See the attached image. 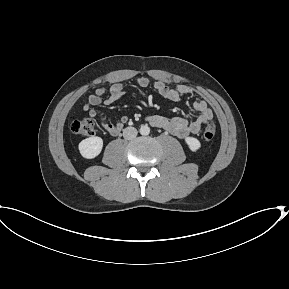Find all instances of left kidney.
Segmentation results:
<instances>
[{"instance_id":"left-kidney-1","label":"left kidney","mask_w":289,"mask_h":289,"mask_svg":"<svg viewBox=\"0 0 289 289\" xmlns=\"http://www.w3.org/2000/svg\"><path fill=\"white\" fill-rule=\"evenodd\" d=\"M185 142L188 145L189 149L193 152H196L201 148V143L197 138L194 137H186Z\"/></svg>"}]
</instances>
